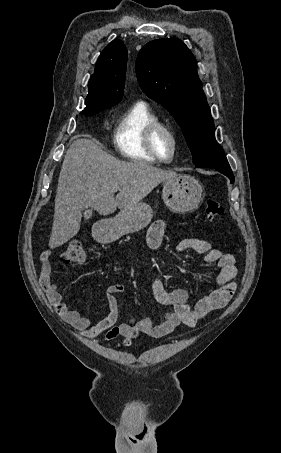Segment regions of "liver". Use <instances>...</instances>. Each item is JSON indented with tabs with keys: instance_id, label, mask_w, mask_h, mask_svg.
Returning a JSON list of instances; mask_svg holds the SVG:
<instances>
[{
	"instance_id": "obj_1",
	"label": "liver",
	"mask_w": 281,
	"mask_h": 453,
	"mask_svg": "<svg viewBox=\"0 0 281 453\" xmlns=\"http://www.w3.org/2000/svg\"><path fill=\"white\" fill-rule=\"evenodd\" d=\"M176 176L175 170L150 162L119 160L90 138H77L66 150L58 178L50 249L77 235L84 208L112 214L116 208L135 206L160 182ZM112 186L122 188L116 198Z\"/></svg>"
}]
</instances>
